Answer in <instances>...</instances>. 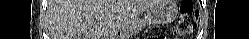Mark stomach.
Returning <instances> with one entry per match:
<instances>
[{"instance_id":"obj_1","label":"stomach","mask_w":249,"mask_h":39,"mask_svg":"<svg viewBox=\"0 0 249 39\" xmlns=\"http://www.w3.org/2000/svg\"><path fill=\"white\" fill-rule=\"evenodd\" d=\"M176 12V4L172 0H157L146 10L143 20L135 19L129 25L131 30H139L151 24H167L171 22ZM122 35L121 37H126Z\"/></svg>"}]
</instances>
